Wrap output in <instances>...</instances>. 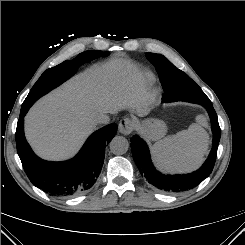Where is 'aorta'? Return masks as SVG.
<instances>
[{"mask_svg": "<svg viewBox=\"0 0 245 245\" xmlns=\"http://www.w3.org/2000/svg\"><path fill=\"white\" fill-rule=\"evenodd\" d=\"M129 149V142L125 137L116 136L110 142V150L113 154L122 155Z\"/></svg>", "mask_w": 245, "mask_h": 245, "instance_id": "762f6f07", "label": "aorta"}]
</instances>
